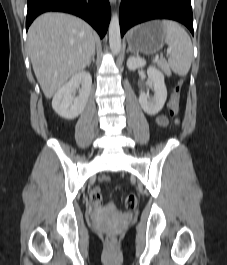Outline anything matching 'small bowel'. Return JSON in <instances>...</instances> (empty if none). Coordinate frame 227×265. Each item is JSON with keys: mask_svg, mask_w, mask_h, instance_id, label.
I'll return each mask as SVG.
<instances>
[{"mask_svg": "<svg viewBox=\"0 0 227 265\" xmlns=\"http://www.w3.org/2000/svg\"><path fill=\"white\" fill-rule=\"evenodd\" d=\"M156 123L161 127H165L167 125V119L165 116L160 115L156 118Z\"/></svg>", "mask_w": 227, "mask_h": 265, "instance_id": "1", "label": "small bowel"}]
</instances>
